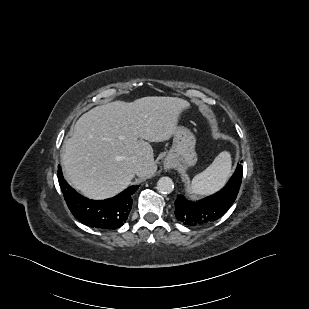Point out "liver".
Returning <instances> with one entry per match:
<instances>
[{"instance_id":"liver-1","label":"liver","mask_w":309,"mask_h":309,"mask_svg":"<svg viewBox=\"0 0 309 309\" xmlns=\"http://www.w3.org/2000/svg\"><path fill=\"white\" fill-rule=\"evenodd\" d=\"M189 108L183 99L158 96L94 107L77 120L64 142L65 178L86 197L105 199L123 191L135 175H153L157 165L150 142L169 140ZM132 158L141 163L138 173Z\"/></svg>"}]
</instances>
